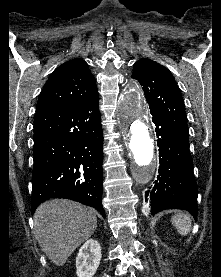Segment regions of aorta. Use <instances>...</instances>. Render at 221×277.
Instances as JSON below:
<instances>
[{"instance_id": "1", "label": "aorta", "mask_w": 221, "mask_h": 277, "mask_svg": "<svg viewBox=\"0 0 221 277\" xmlns=\"http://www.w3.org/2000/svg\"><path fill=\"white\" fill-rule=\"evenodd\" d=\"M119 122L127 146L133 156V175L136 182H149L157 169L154 143L150 136L149 117L136 84H130L117 102Z\"/></svg>"}]
</instances>
